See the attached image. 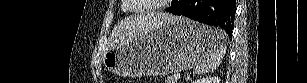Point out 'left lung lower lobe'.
<instances>
[{
	"label": "left lung lower lobe",
	"instance_id": "left-lung-lower-lobe-1",
	"mask_svg": "<svg viewBox=\"0 0 307 83\" xmlns=\"http://www.w3.org/2000/svg\"><path fill=\"white\" fill-rule=\"evenodd\" d=\"M174 15H183L200 23L219 26L231 36L236 13L235 0H173L166 9Z\"/></svg>",
	"mask_w": 307,
	"mask_h": 83
}]
</instances>
